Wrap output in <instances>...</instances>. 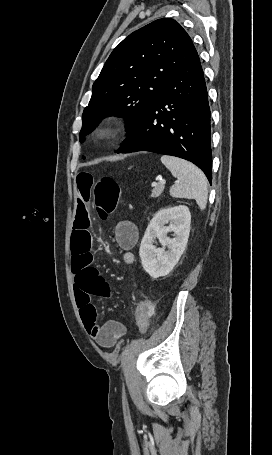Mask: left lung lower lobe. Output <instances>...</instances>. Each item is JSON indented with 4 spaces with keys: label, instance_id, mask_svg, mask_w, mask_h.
I'll use <instances>...</instances> for the list:
<instances>
[{
    "label": "left lung lower lobe",
    "instance_id": "left-lung-lower-lobe-1",
    "mask_svg": "<svg viewBox=\"0 0 272 455\" xmlns=\"http://www.w3.org/2000/svg\"><path fill=\"white\" fill-rule=\"evenodd\" d=\"M210 108L199 56L179 70L117 153L150 151L186 159L211 183Z\"/></svg>",
    "mask_w": 272,
    "mask_h": 455
}]
</instances>
